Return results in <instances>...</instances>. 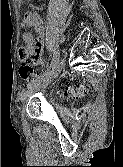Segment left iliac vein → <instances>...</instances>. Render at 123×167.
I'll use <instances>...</instances> for the list:
<instances>
[{
  "label": "left iliac vein",
  "instance_id": "obj_1",
  "mask_svg": "<svg viewBox=\"0 0 123 167\" xmlns=\"http://www.w3.org/2000/svg\"><path fill=\"white\" fill-rule=\"evenodd\" d=\"M65 65V58H62L60 62L41 80L36 82L31 88H28L24 92L21 97V102H24L27 98H29L32 94L36 93L37 91L46 88L61 72Z\"/></svg>",
  "mask_w": 123,
  "mask_h": 167
}]
</instances>
